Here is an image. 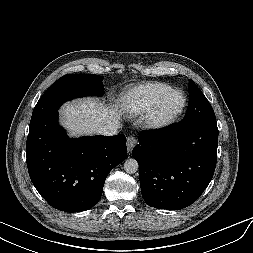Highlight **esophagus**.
I'll list each match as a JSON object with an SVG mask.
<instances>
[{
    "instance_id": "1",
    "label": "esophagus",
    "mask_w": 253,
    "mask_h": 253,
    "mask_svg": "<svg viewBox=\"0 0 253 253\" xmlns=\"http://www.w3.org/2000/svg\"><path fill=\"white\" fill-rule=\"evenodd\" d=\"M137 144V139L134 136H129L127 138V151L130 154L133 150V148L135 147V145Z\"/></svg>"
}]
</instances>
